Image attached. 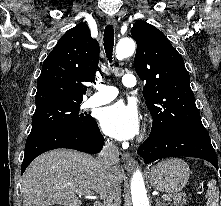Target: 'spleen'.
<instances>
[{
  "label": "spleen",
  "instance_id": "1",
  "mask_svg": "<svg viewBox=\"0 0 221 206\" xmlns=\"http://www.w3.org/2000/svg\"><path fill=\"white\" fill-rule=\"evenodd\" d=\"M208 201L207 206H219V192L216 187V181L211 180L208 183Z\"/></svg>",
  "mask_w": 221,
  "mask_h": 206
}]
</instances>
